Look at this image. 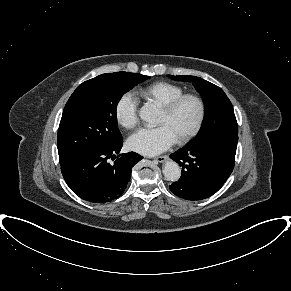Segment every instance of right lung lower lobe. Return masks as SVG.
<instances>
[{"mask_svg": "<svg viewBox=\"0 0 291 291\" xmlns=\"http://www.w3.org/2000/svg\"><path fill=\"white\" fill-rule=\"evenodd\" d=\"M122 145L120 140L108 147L86 151L61 165L71 190L80 198L96 203L120 197L131 178L132 167L143 158L135 152L119 154ZM110 158L115 159L114 163H109Z\"/></svg>", "mask_w": 291, "mask_h": 291, "instance_id": "obj_1", "label": "right lung lower lobe"}]
</instances>
